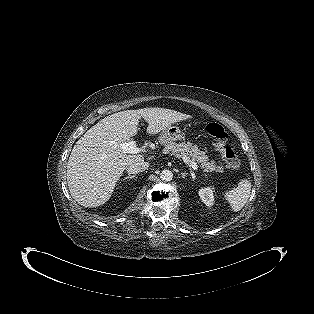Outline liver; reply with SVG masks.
I'll return each mask as SVG.
<instances>
[{
    "instance_id": "1",
    "label": "liver",
    "mask_w": 314,
    "mask_h": 314,
    "mask_svg": "<svg viewBox=\"0 0 314 314\" xmlns=\"http://www.w3.org/2000/svg\"><path fill=\"white\" fill-rule=\"evenodd\" d=\"M147 123V133L155 135L191 116L164 108L121 111L101 119L74 145L67 164L71 196L84 207L107 202L126 167L143 161V154L124 153L121 144L138 131L139 120Z\"/></svg>"
}]
</instances>
